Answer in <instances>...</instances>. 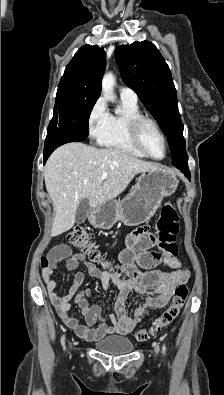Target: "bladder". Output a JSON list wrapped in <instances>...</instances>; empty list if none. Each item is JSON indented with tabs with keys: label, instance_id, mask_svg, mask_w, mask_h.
<instances>
[{
	"label": "bladder",
	"instance_id": "31cf9c89",
	"mask_svg": "<svg viewBox=\"0 0 224 395\" xmlns=\"http://www.w3.org/2000/svg\"><path fill=\"white\" fill-rule=\"evenodd\" d=\"M95 349L108 355H122L131 353L134 344L127 337L109 336L95 343Z\"/></svg>",
	"mask_w": 224,
	"mask_h": 395
}]
</instances>
